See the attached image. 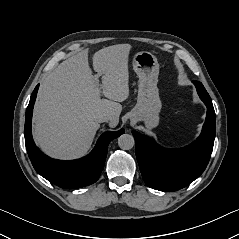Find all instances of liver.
I'll return each instance as SVG.
<instances>
[{
    "label": "liver",
    "mask_w": 239,
    "mask_h": 239,
    "mask_svg": "<svg viewBox=\"0 0 239 239\" xmlns=\"http://www.w3.org/2000/svg\"><path fill=\"white\" fill-rule=\"evenodd\" d=\"M130 50V45L118 44L93 54L101 84L92 75L86 50L63 61L43 80L33 113V136L43 152L58 159L79 158L100 128L97 115L109 114L110 126H117L122 111L118 102L129 96Z\"/></svg>",
    "instance_id": "obj_1"
}]
</instances>
